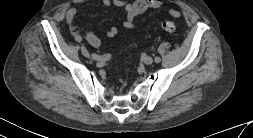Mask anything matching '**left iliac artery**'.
<instances>
[{"mask_svg": "<svg viewBox=\"0 0 253 138\" xmlns=\"http://www.w3.org/2000/svg\"><path fill=\"white\" fill-rule=\"evenodd\" d=\"M154 60H155L156 63H159L161 61L159 56H156Z\"/></svg>", "mask_w": 253, "mask_h": 138, "instance_id": "obj_1", "label": "left iliac artery"}]
</instances>
